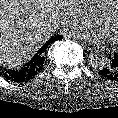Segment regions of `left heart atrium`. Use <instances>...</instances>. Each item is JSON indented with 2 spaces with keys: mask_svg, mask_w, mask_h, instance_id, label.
I'll use <instances>...</instances> for the list:
<instances>
[{
  "mask_svg": "<svg viewBox=\"0 0 118 118\" xmlns=\"http://www.w3.org/2000/svg\"><path fill=\"white\" fill-rule=\"evenodd\" d=\"M78 36L89 39L94 42H100L104 39V35L100 31L81 30L77 33Z\"/></svg>",
  "mask_w": 118,
  "mask_h": 118,
  "instance_id": "39dd6f15",
  "label": "left heart atrium"
}]
</instances>
